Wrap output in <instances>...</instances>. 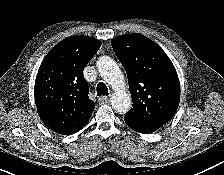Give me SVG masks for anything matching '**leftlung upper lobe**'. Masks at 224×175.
<instances>
[{"label": "left lung upper lobe", "mask_w": 224, "mask_h": 175, "mask_svg": "<svg viewBox=\"0 0 224 175\" xmlns=\"http://www.w3.org/2000/svg\"><path fill=\"white\" fill-rule=\"evenodd\" d=\"M126 70L132 109L124 119L140 124H166L180 101L177 72L165 52L141 34H127L111 42Z\"/></svg>", "instance_id": "1"}]
</instances>
